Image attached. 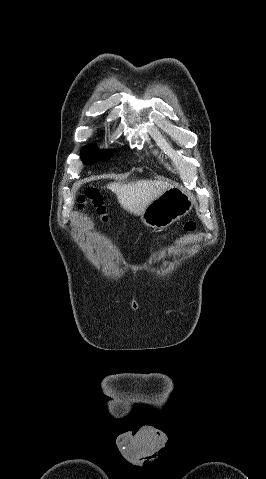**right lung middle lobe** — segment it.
Instances as JSON below:
<instances>
[{"label": "right lung middle lobe", "mask_w": 266, "mask_h": 479, "mask_svg": "<svg viewBox=\"0 0 266 479\" xmlns=\"http://www.w3.org/2000/svg\"><path fill=\"white\" fill-rule=\"evenodd\" d=\"M112 153L113 151L109 150L98 152L97 147L93 144H90L82 148L81 159L84 161L85 164H88L96 162L98 160H106L112 155Z\"/></svg>", "instance_id": "right-lung-middle-lobe-1"}]
</instances>
